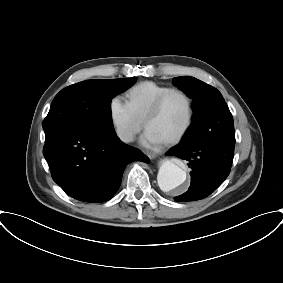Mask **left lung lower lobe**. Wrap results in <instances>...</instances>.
<instances>
[{
    "label": "left lung lower lobe",
    "mask_w": 283,
    "mask_h": 283,
    "mask_svg": "<svg viewBox=\"0 0 283 283\" xmlns=\"http://www.w3.org/2000/svg\"><path fill=\"white\" fill-rule=\"evenodd\" d=\"M205 125V121L200 118L190 126L181 142L167 152L168 155L186 160L192 170L188 191L175 197L176 201L203 199L219 187L229 175L234 148L208 144L204 137Z\"/></svg>",
    "instance_id": "0a47b994"
}]
</instances>
